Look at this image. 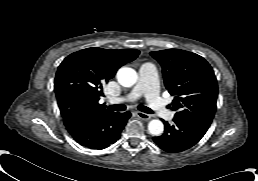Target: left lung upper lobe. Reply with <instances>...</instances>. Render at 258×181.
Instances as JSON below:
<instances>
[{"label":"left lung upper lobe","instance_id":"1","mask_svg":"<svg viewBox=\"0 0 258 181\" xmlns=\"http://www.w3.org/2000/svg\"><path fill=\"white\" fill-rule=\"evenodd\" d=\"M150 54L161 64L165 86L170 94L175 95L171 105L175 117L211 124L218 87L209 63L197 54L180 49Z\"/></svg>","mask_w":258,"mask_h":181}]
</instances>
